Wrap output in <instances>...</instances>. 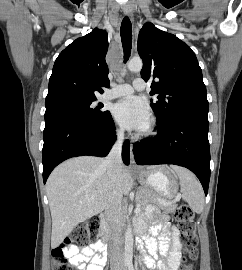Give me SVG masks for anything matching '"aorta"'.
Listing matches in <instances>:
<instances>
[{
    "label": "aorta",
    "instance_id": "aorta-1",
    "mask_svg": "<svg viewBox=\"0 0 242 270\" xmlns=\"http://www.w3.org/2000/svg\"><path fill=\"white\" fill-rule=\"evenodd\" d=\"M127 67L132 72H140L143 67V62L141 59H132L128 62ZM133 233L131 229V225H127V229L125 232V258L126 259H132L133 255Z\"/></svg>",
    "mask_w": 242,
    "mask_h": 270
}]
</instances>
